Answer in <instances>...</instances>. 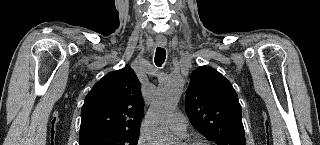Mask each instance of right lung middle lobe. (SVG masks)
Instances as JSON below:
<instances>
[{
  "instance_id": "obj_1",
  "label": "right lung middle lobe",
  "mask_w": 320,
  "mask_h": 145,
  "mask_svg": "<svg viewBox=\"0 0 320 145\" xmlns=\"http://www.w3.org/2000/svg\"><path fill=\"white\" fill-rule=\"evenodd\" d=\"M139 131L99 132L79 137V145H137Z\"/></svg>"
}]
</instances>
